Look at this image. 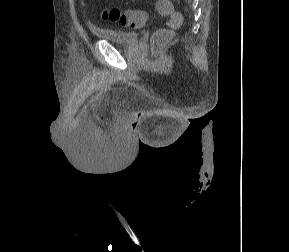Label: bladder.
I'll return each mask as SVG.
<instances>
[{"instance_id":"obj_1","label":"bladder","mask_w":289,"mask_h":252,"mask_svg":"<svg viewBox=\"0 0 289 252\" xmlns=\"http://www.w3.org/2000/svg\"><path fill=\"white\" fill-rule=\"evenodd\" d=\"M92 33L96 38L100 40H105L123 46H133L137 44L140 39L139 33L135 31H123L108 28H93Z\"/></svg>"}]
</instances>
